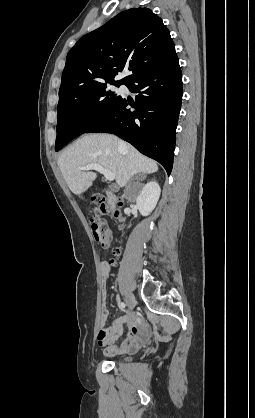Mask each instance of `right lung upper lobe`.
Listing matches in <instances>:
<instances>
[{"label": "right lung upper lobe", "instance_id": "right-lung-upper-lobe-1", "mask_svg": "<svg viewBox=\"0 0 255 418\" xmlns=\"http://www.w3.org/2000/svg\"><path fill=\"white\" fill-rule=\"evenodd\" d=\"M176 56L175 45L161 18L148 8H132L84 35L72 47L59 94L97 83L125 84ZM125 65H129L130 75L114 81Z\"/></svg>", "mask_w": 255, "mask_h": 418}]
</instances>
